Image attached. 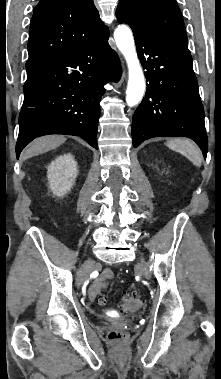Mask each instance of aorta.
Masks as SVG:
<instances>
[{
  "label": "aorta",
  "mask_w": 221,
  "mask_h": 379,
  "mask_svg": "<svg viewBox=\"0 0 221 379\" xmlns=\"http://www.w3.org/2000/svg\"><path fill=\"white\" fill-rule=\"evenodd\" d=\"M114 38L118 49L127 62L129 70L128 86L126 91L127 105H137L143 98L145 92L144 74L137 57L134 39L130 28L119 25L114 31Z\"/></svg>",
  "instance_id": "762f6f07"
}]
</instances>
